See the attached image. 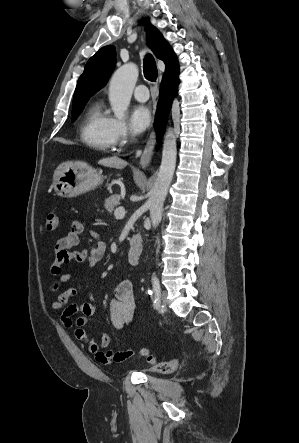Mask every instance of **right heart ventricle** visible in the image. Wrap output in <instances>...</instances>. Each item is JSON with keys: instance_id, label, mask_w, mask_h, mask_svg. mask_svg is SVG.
Listing matches in <instances>:
<instances>
[{"instance_id": "right-heart-ventricle-1", "label": "right heart ventricle", "mask_w": 299, "mask_h": 443, "mask_svg": "<svg viewBox=\"0 0 299 443\" xmlns=\"http://www.w3.org/2000/svg\"><path fill=\"white\" fill-rule=\"evenodd\" d=\"M110 117L100 103H94L88 109L80 128L81 141L89 148L107 152L114 144L111 137Z\"/></svg>"}]
</instances>
